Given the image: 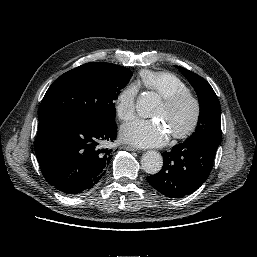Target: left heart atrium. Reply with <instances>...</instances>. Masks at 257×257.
<instances>
[{"label":"left heart atrium","mask_w":257,"mask_h":257,"mask_svg":"<svg viewBox=\"0 0 257 257\" xmlns=\"http://www.w3.org/2000/svg\"><path fill=\"white\" fill-rule=\"evenodd\" d=\"M121 138L137 146H162L168 140V133L161 123L136 119L121 128Z\"/></svg>","instance_id":"obj_1"}]
</instances>
